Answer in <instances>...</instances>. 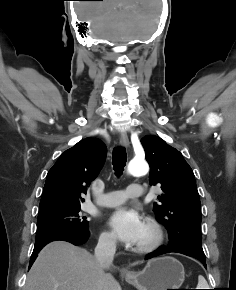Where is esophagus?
<instances>
[{
  "mask_svg": "<svg viewBox=\"0 0 236 290\" xmlns=\"http://www.w3.org/2000/svg\"><path fill=\"white\" fill-rule=\"evenodd\" d=\"M120 144L124 147L129 146V139L126 133H121L120 135ZM123 273H128L127 271H123Z\"/></svg>",
  "mask_w": 236,
  "mask_h": 290,
  "instance_id": "obj_1",
  "label": "esophagus"
}]
</instances>
